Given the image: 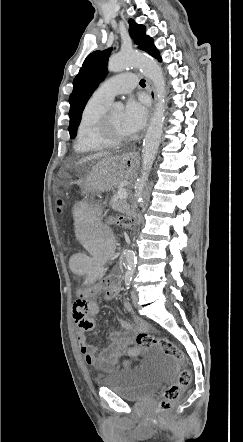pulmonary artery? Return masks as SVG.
<instances>
[{
    "label": "pulmonary artery",
    "instance_id": "pulmonary-artery-1",
    "mask_svg": "<svg viewBox=\"0 0 243 442\" xmlns=\"http://www.w3.org/2000/svg\"><path fill=\"white\" fill-rule=\"evenodd\" d=\"M137 85L136 75L131 72L117 74L105 82L93 93L99 101L111 103L116 95L130 92Z\"/></svg>",
    "mask_w": 243,
    "mask_h": 442
}]
</instances>
